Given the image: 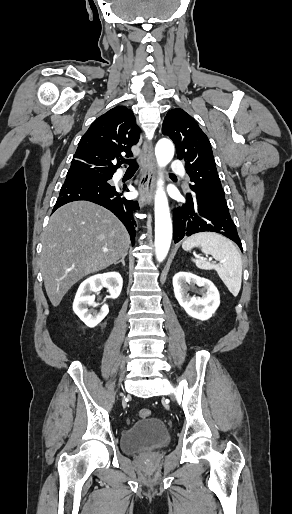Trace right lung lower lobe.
<instances>
[{"label":"right lung lower lobe","instance_id":"98d812e1","mask_svg":"<svg viewBox=\"0 0 292 514\" xmlns=\"http://www.w3.org/2000/svg\"><path fill=\"white\" fill-rule=\"evenodd\" d=\"M110 179L66 178L53 212L60 206L72 201L87 200L94 202L113 212L122 221L130 234L132 244H134L136 223L133 213L139 209L138 202L128 200L123 196L124 191H129L126 185L123 187L112 186L108 183Z\"/></svg>","mask_w":292,"mask_h":514}]
</instances>
